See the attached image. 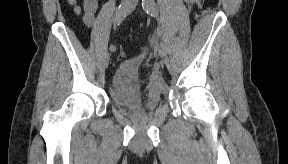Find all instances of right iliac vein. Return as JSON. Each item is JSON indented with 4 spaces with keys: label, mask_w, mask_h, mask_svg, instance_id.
<instances>
[{
    "label": "right iliac vein",
    "mask_w": 288,
    "mask_h": 164,
    "mask_svg": "<svg viewBox=\"0 0 288 164\" xmlns=\"http://www.w3.org/2000/svg\"><path fill=\"white\" fill-rule=\"evenodd\" d=\"M109 60H110V55L107 54V55H106V58H105V63H106V65L109 64Z\"/></svg>",
    "instance_id": "right-iliac-vein-1"
}]
</instances>
